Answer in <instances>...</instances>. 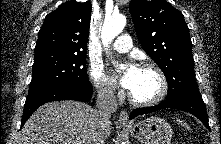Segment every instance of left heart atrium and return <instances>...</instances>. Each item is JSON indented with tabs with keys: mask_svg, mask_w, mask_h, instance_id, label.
I'll return each mask as SVG.
<instances>
[{
	"mask_svg": "<svg viewBox=\"0 0 221 144\" xmlns=\"http://www.w3.org/2000/svg\"><path fill=\"white\" fill-rule=\"evenodd\" d=\"M138 73L139 68L134 64H130L124 75L121 77L120 81L122 86L131 91L135 86Z\"/></svg>",
	"mask_w": 221,
	"mask_h": 144,
	"instance_id": "1",
	"label": "left heart atrium"
}]
</instances>
